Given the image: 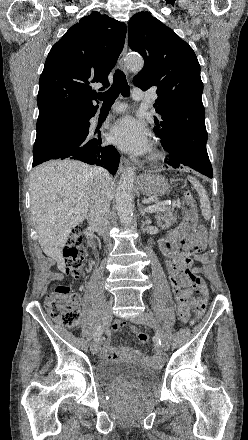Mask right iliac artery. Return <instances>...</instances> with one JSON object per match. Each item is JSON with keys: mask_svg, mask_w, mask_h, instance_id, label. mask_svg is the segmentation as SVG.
<instances>
[{"mask_svg": "<svg viewBox=\"0 0 248 440\" xmlns=\"http://www.w3.org/2000/svg\"><path fill=\"white\" fill-rule=\"evenodd\" d=\"M102 333H103V327L100 325L95 332L94 340L100 339Z\"/></svg>", "mask_w": 248, "mask_h": 440, "instance_id": "obj_1", "label": "right iliac artery"}]
</instances>
